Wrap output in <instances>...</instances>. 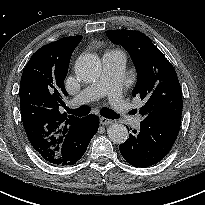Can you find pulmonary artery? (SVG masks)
<instances>
[{
  "label": "pulmonary artery",
  "instance_id": "pulmonary-artery-1",
  "mask_svg": "<svg viewBox=\"0 0 205 205\" xmlns=\"http://www.w3.org/2000/svg\"><path fill=\"white\" fill-rule=\"evenodd\" d=\"M102 62L103 71L99 78L85 87L73 101V104L89 103L107 95L118 114L123 116V121L139 128L140 117L128 113V102L122 96L126 63L124 54L120 51L107 52L103 55Z\"/></svg>",
  "mask_w": 205,
  "mask_h": 205
}]
</instances>
